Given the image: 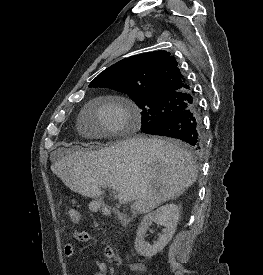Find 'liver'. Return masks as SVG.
Here are the masks:
<instances>
[{
	"instance_id": "6515ba94",
	"label": "liver",
	"mask_w": 263,
	"mask_h": 275,
	"mask_svg": "<svg viewBox=\"0 0 263 275\" xmlns=\"http://www.w3.org/2000/svg\"><path fill=\"white\" fill-rule=\"evenodd\" d=\"M52 172L72 191L90 198L103 192L99 183L130 195L131 211L144 214L176 198L197 178L193 156L162 138L134 137L98 151L55 152Z\"/></svg>"
}]
</instances>
